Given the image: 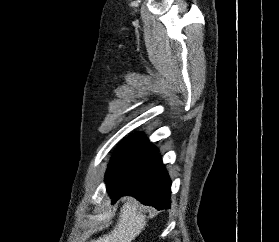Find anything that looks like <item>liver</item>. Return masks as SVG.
I'll return each mask as SVG.
<instances>
[{
    "instance_id": "obj_1",
    "label": "liver",
    "mask_w": 279,
    "mask_h": 242,
    "mask_svg": "<svg viewBox=\"0 0 279 242\" xmlns=\"http://www.w3.org/2000/svg\"><path fill=\"white\" fill-rule=\"evenodd\" d=\"M139 203L128 199L120 210L119 219L114 229L90 242H132L147 225L146 215L139 213Z\"/></svg>"
}]
</instances>
